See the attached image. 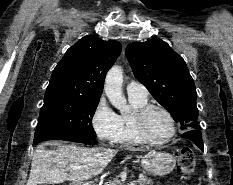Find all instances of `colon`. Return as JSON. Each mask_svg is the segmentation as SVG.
Listing matches in <instances>:
<instances>
[{"instance_id": "1", "label": "colon", "mask_w": 233, "mask_h": 185, "mask_svg": "<svg viewBox=\"0 0 233 185\" xmlns=\"http://www.w3.org/2000/svg\"><path fill=\"white\" fill-rule=\"evenodd\" d=\"M195 155L191 148L183 147L178 156V167L183 174H190L194 169Z\"/></svg>"}]
</instances>
